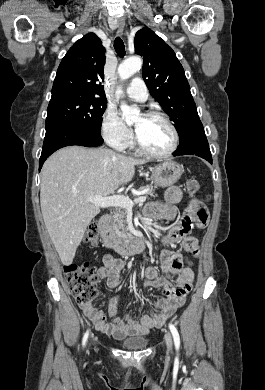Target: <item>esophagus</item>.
I'll return each mask as SVG.
<instances>
[{
	"mask_svg": "<svg viewBox=\"0 0 265 390\" xmlns=\"http://www.w3.org/2000/svg\"><path fill=\"white\" fill-rule=\"evenodd\" d=\"M117 26H118V32H119L120 34H122V33H123L124 26H125V21H124V19H122V18L117 19Z\"/></svg>",
	"mask_w": 265,
	"mask_h": 390,
	"instance_id": "obj_1",
	"label": "esophagus"
}]
</instances>
